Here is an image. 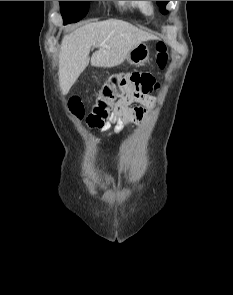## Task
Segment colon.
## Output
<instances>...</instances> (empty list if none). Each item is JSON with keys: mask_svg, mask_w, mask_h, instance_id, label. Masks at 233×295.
<instances>
[{"mask_svg": "<svg viewBox=\"0 0 233 295\" xmlns=\"http://www.w3.org/2000/svg\"><path fill=\"white\" fill-rule=\"evenodd\" d=\"M156 50L157 64L163 69L168 60L165 43L159 42ZM157 89L155 78L148 72L133 71L114 75L100 89L86 122L90 127L100 128L109 118L116 101L123 98H138ZM69 109L79 119L84 116V106L78 97L70 99Z\"/></svg>", "mask_w": 233, "mask_h": 295, "instance_id": "5ec220e1", "label": "colon"}]
</instances>
